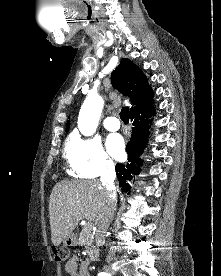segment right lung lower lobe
Returning a JSON list of instances; mask_svg holds the SVG:
<instances>
[{"instance_id":"98d812e1","label":"right lung lower lobe","mask_w":221,"mask_h":276,"mask_svg":"<svg viewBox=\"0 0 221 276\" xmlns=\"http://www.w3.org/2000/svg\"><path fill=\"white\" fill-rule=\"evenodd\" d=\"M154 113L155 109L153 105L150 104L146 108L131 114L133 128L131 139L126 147L128 163L125 165L118 163L116 165L119 186L124 192L130 191V183L133 176L141 171L140 165L143 164V161L140 159V155L142 154L149 135V117L154 115Z\"/></svg>"}]
</instances>
